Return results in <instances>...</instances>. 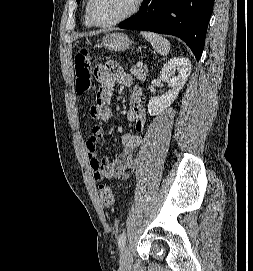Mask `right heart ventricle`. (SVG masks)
Wrapping results in <instances>:
<instances>
[{
	"mask_svg": "<svg viewBox=\"0 0 253 271\" xmlns=\"http://www.w3.org/2000/svg\"><path fill=\"white\" fill-rule=\"evenodd\" d=\"M87 6H88V2L86 3V6H85V10H84V24L87 26V27H93L94 25L92 24L89 16H88V12H87Z\"/></svg>",
	"mask_w": 253,
	"mask_h": 271,
	"instance_id": "e07e8e85",
	"label": "right heart ventricle"
}]
</instances>
